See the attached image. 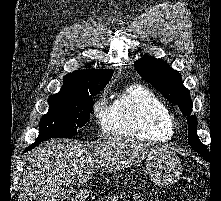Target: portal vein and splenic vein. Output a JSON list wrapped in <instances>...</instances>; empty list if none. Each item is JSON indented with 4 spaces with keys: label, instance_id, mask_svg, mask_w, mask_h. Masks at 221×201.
Returning a JSON list of instances; mask_svg holds the SVG:
<instances>
[{
    "label": "portal vein and splenic vein",
    "instance_id": "18ae733b",
    "mask_svg": "<svg viewBox=\"0 0 221 201\" xmlns=\"http://www.w3.org/2000/svg\"><path fill=\"white\" fill-rule=\"evenodd\" d=\"M99 167H101V166L99 165L98 168H99ZM120 196L122 197V195H120ZM118 198H119V197H117V199H118ZM115 201H117V200H115Z\"/></svg>",
    "mask_w": 221,
    "mask_h": 201
}]
</instances>
